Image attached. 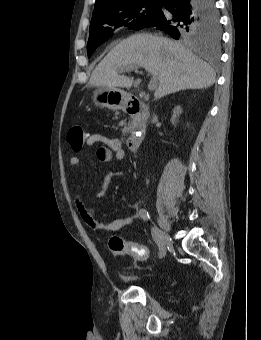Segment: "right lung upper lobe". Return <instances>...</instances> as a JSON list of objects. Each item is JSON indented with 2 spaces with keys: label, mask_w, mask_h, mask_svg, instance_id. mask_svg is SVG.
I'll list each match as a JSON object with an SVG mask.
<instances>
[{
  "label": "right lung upper lobe",
  "mask_w": 261,
  "mask_h": 340,
  "mask_svg": "<svg viewBox=\"0 0 261 340\" xmlns=\"http://www.w3.org/2000/svg\"><path fill=\"white\" fill-rule=\"evenodd\" d=\"M139 1L145 0H96L91 21H96L103 16L117 10L120 7L127 6Z\"/></svg>",
  "instance_id": "obj_1"
}]
</instances>
